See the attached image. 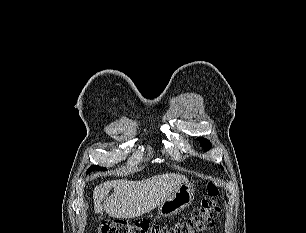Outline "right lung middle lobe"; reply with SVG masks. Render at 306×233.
Here are the masks:
<instances>
[{
  "instance_id": "1",
  "label": "right lung middle lobe",
  "mask_w": 306,
  "mask_h": 233,
  "mask_svg": "<svg viewBox=\"0 0 306 233\" xmlns=\"http://www.w3.org/2000/svg\"><path fill=\"white\" fill-rule=\"evenodd\" d=\"M93 170H98V171L101 170V171H104V170H107V169L104 168V167H100V166H98V165H92V166L89 167V169L87 170L86 174L90 173V172L93 171Z\"/></svg>"
}]
</instances>
